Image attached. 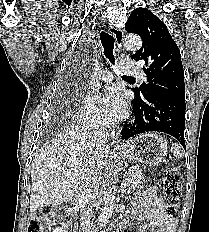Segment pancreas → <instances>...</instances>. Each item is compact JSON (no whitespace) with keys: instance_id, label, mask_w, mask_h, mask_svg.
Wrapping results in <instances>:
<instances>
[{"instance_id":"pancreas-1","label":"pancreas","mask_w":209,"mask_h":232,"mask_svg":"<svg viewBox=\"0 0 209 232\" xmlns=\"http://www.w3.org/2000/svg\"><path fill=\"white\" fill-rule=\"evenodd\" d=\"M129 172H131V175L128 177V186L130 189H136L140 183L144 180V176L142 174V170H140L138 167H131L129 169Z\"/></svg>"}]
</instances>
